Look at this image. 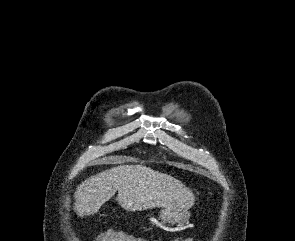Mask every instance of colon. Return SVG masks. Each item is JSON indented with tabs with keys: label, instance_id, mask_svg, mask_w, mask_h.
Wrapping results in <instances>:
<instances>
[{
	"label": "colon",
	"instance_id": "1",
	"mask_svg": "<svg viewBox=\"0 0 295 241\" xmlns=\"http://www.w3.org/2000/svg\"><path fill=\"white\" fill-rule=\"evenodd\" d=\"M129 237L130 235L123 232L105 231L99 235L98 241H128Z\"/></svg>",
	"mask_w": 295,
	"mask_h": 241
}]
</instances>
